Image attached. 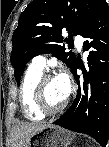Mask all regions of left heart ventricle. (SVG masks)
I'll use <instances>...</instances> for the list:
<instances>
[{"mask_svg":"<svg viewBox=\"0 0 109 147\" xmlns=\"http://www.w3.org/2000/svg\"><path fill=\"white\" fill-rule=\"evenodd\" d=\"M45 98L48 105L52 108L59 106L66 99L58 78H53L46 83Z\"/></svg>","mask_w":109,"mask_h":147,"instance_id":"left-heart-ventricle-1","label":"left heart ventricle"}]
</instances>
